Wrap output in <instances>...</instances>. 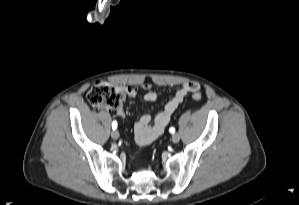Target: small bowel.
<instances>
[{
  "label": "small bowel",
  "instance_id": "1",
  "mask_svg": "<svg viewBox=\"0 0 299 205\" xmlns=\"http://www.w3.org/2000/svg\"><path fill=\"white\" fill-rule=\"evenodd\" d=\"M146 92L143 95V100L146 102H155L158 99V94L151 89L149 84L141 86ZM128 96H135L138 88L126 86L124 87ZM199 85L196 82H186L175 92L173 97L167 101L163 109L157 113L151 124L152 116L150 114L141 115L134 124L135 140L140 145H147L161 136L167 128L172 114L183 102L184 98L192 92L198 91ZM119 117L125 118L124 109L120 106L116 109Z\"/></svg>",
  "mask_w": 299,
  "mask_h": 205
}]
</instances>
